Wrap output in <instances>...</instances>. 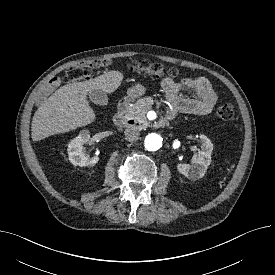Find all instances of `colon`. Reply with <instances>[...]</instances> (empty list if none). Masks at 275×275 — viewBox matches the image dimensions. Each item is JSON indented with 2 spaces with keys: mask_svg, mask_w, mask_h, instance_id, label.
<instances>
[{
  "mask_svg": "<svg viewBox=\"0 0 275 275\" xmlns=\"http://www.w3.org/2000/svg\"><path fill=\"white\" fill-rule=\"evenodd\" d=\"M110 64L109 60H91L84 63L82 66H73L65 71L63 79L66 82H82L90 79V74L86 68H96L100 66H107ZM131 70L149 76L151 78L176 77L178 70L176 68H166L159 63H151L147 61H133L129 64ZM59 80L55 78L53 83ZM217 116L222 120H231L234 117V108L230 103L220 105L216 110Z\"/></svg>",
  "mask_w": 275,
  "mask_h": 275,
  "instance_id": "obj_1",
  "label": "colon"
}]
</instances>
